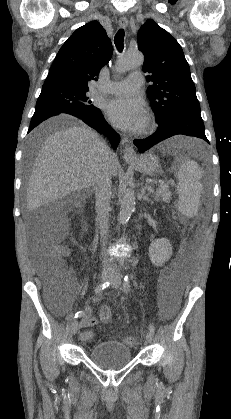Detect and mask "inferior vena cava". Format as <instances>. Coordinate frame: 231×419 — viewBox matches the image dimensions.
Listing matches in <instances>:
<instances>
[{"instance_id":"obj_1","label":"inferior vena cava","mask_w":231,"mask_h":419,"mask_svg":"<svg viewBox=\"0 0 231 419\" xmlns=\"http://www.w3.org/2000/svg\"><path fill=\"white\" fill-rule=\"evenodd\" d=\"M116 155L108 149L106 151L105 160L101 165L100 171L97 176L96 184L94 187L95 198H96V212L99 222L101 242L103 246V263L105 265L112 264V259L108 258L105 252V245L107 243V233H108V220L110 212V199H111V172L109 168V161L114 159Z\"/></svg>"}]
</instances>
